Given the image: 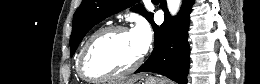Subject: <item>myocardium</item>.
<instances>
[{
    "label": "myocardium",
    "instance_id": "f54148a6",
    "mask_svg": "<svg viewBox=\"0 0 260 84\" xmlns=\"http://www.w3.org/2000/svg\"><path fill=\"white\" fill-rule=\"evenodd\" d=\"M115 32L131 33L129 28H127L126 26L114 24V25L105 26V27L97 30L88 39V41L86 42V44L81 52L80 57H79L78 72H79V75L81 78H83L86 81H90V82L110 81V80L124 77V76L134 72L142 65V63L144 62V58H145L144 54H141L140 57L130 67H128L122 71L116 72V73L97 76V75H94L89 72L88 66H87V59H88V56H89L93 46L95 45L96 41L99 38H101L102 36H104L105 34L115 33Z\"/></svg>",
    "mask_w": 260,
    "mask_h": 84
}]
</instances>
